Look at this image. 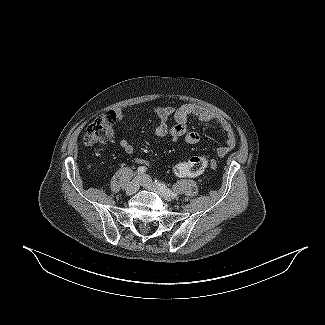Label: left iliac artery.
I'll use <instances>...</instances> for the list:
<instances>
[{
	"mask_svg": "<svg viewBox=\"0 0 325 325\" xmlns=\"http://www.w3.org/2000/svg\"><path fill=\"white\" fill-rule=\"evenodd\" d=\"M155 183L157 185V187L159 188V190L164 193L167 196H170L172 198H175L177 196V194H175L174 192H172L169 188H167V186L157 180H155Z\"/></svg>",
	"mask_w": 325,
	"mask_h": 325,
	"instance_id": "44dca946",
	"label": "left iliac artery"
}]
</instances>
